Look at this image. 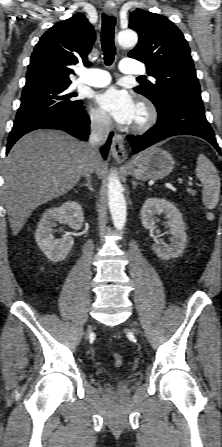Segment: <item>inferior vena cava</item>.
<instances>
[{
	"label": "inferior vena cava",
	"instance_id": "inferior-vena-cava-1",
	"mask_svg": "<svg viewBox=\"0 0 222 447\" xmlns=\"http://www.w3.org/2000/svg\"><path fill=\"white\" fill-rule=\"evenodd\" d=\"M111 120L107 116L100 117L94 120L91 124V134L89 144L92 148L93 154L100 158L98 147L104 144L109 136V133L112 129ZM94 171V168H91L90 171L85 173V176L88 178L90 173Z\"/></svg>",
	"mask_w": 222,
	"mask_h": 447
}]
</instances>
